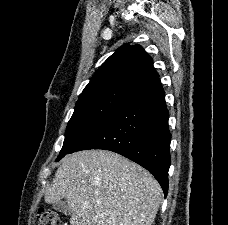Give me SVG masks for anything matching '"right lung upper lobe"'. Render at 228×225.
Returning a JSON list of instances; mask_svg holds the SVG:
<instances>
[{
	"instance_id": "1",
	"label": "right lung upper lobe",
	"mask_w": 228,
	"mask_h": 225,
	"mask_svg": "<svg viewBox=\"0 0 228 225\" xmlns=\"http://www.w3.org/2000/svg\"><path fill=\"white\" fill-rule=\"evenodd\" d=\"M157 78L153 60L143 48L124 44L98 68L84 90L115 82L143 89Z\"/></svg>"
}]
</instances>
